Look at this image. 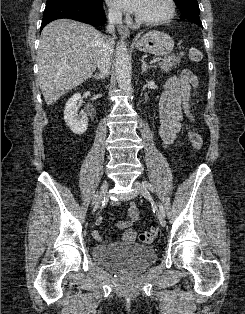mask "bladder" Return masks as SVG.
I'll return each mask as SVG.
<instances>
[{
    "instance_id": "31cf9c89",
    "label": "bladder",
    "mask_w": 245,
    "mask_h": 314,
    "mask_svg": "<svg viewBox=\"0 0 245 314\" xmlns=\"http://www.w3.org/2000/svg\"><path fill=\"white\" fill-rule=\"evenodd\" d=\"M93 259L101 266L133 275L153 264L157 254L153 248L137 243L106 244L93 248Z\"/></svg>"
}]
</instances>
